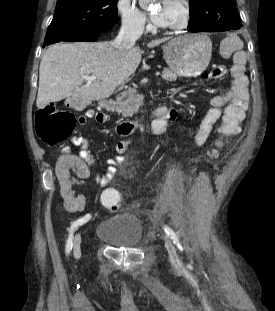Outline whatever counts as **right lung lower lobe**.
Segmentation results:
<instances>
[{"instance_id": "1", "label": "right lung lower lobe", "mask_w": 275, "mask_h": 311, "mask_svg": "<svg viewBox=\"0 0 275 311\" xmlns=\"http://www.w3.org/2000/svg\"><path fill=\"white\" fill-rule=\"evenodd\" d=\"M102 33L103 32H100L98 30L85 31V32H81V33H78V34H74V35H72L70 37H67L65 39H62V40L44 42V46L49 45V44H53V43H57V42H60V41H66V42L96 41L97 38Z\"/></svg>"}]
</instances>
